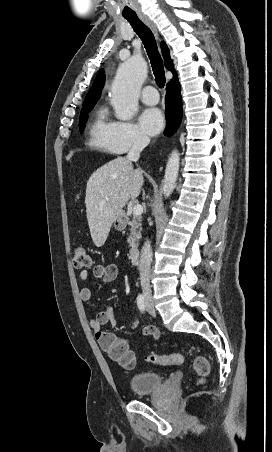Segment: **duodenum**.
I'll return each instance as SVG.
<instances>
[{
    "label": "duodenum",
    "mask_w": 272,
    "mask_h": 452,
    "mask_svg": "<svg viewBox=\"0 0 272 452\" xmlns=\"http://www.w3.org/2000/svg\"><path fill=\"white\" fill-rule=\"evenodd\" d=\"M140 251L139 248L137 247H133L131 248L130 252H129V259L131 263H135L138 260Z\"/></svg>",
    "instance_id": "duodenum-1"
}]
</instances>
